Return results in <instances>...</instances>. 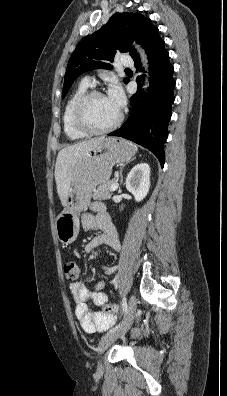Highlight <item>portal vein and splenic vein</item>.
Instances as JSON below:
<instances>
[{"mask_svg": "<svg viewBox=\"0 0 227 396\" xmlns=\"http://www.w3.org/2000/svg\"><path fill=\"white\" fill-rule=\"evenodd\" d=\"M118 189V183H114L112 186H111V191H115V190H117Z\"/></svg>", "mask_w": 227, "mask_h": 396, "instance_id": "18ae733b", "label": "portal vein and splenic vein"}]
</instances>
